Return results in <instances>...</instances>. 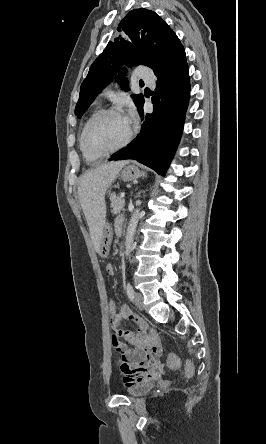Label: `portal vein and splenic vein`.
Listing matches in <instances>:
<instances>
[{
  "mask_svg": "<svg viewBox=\"0 0 266 444\" xmlns=\"http://www.w3.org/2000/svg\"><path fill=\"white\" fill-rule=\"evenodd\" d=\"M124 197H125V193H122V194H121V198H124Z\"/></svg>",
  "mask_w": 266,
  "mask_h": 444,
  "instance_id": "obj_1",
  "label": "portal vein and splenic vein"
}]
</instances>
